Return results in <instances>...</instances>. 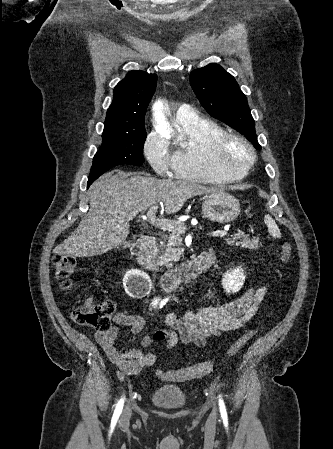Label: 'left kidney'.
Wrapping results in <instances>:
<instances>
[{"label":"left kidney","mask_w":333,"mask_h":449,"mask_svg":"<svg viewBox=\"0 0 333 449\" xmlns=\"http://www.w3.org/2000/svg\"><path fill=\"white\" fill-rule=\"evenodd\" d=\"M245 281V275L242 268L237 267L227 271L222 277V286L225 292L235 293L238 292Z\"/></svg>","instance_id":"left-kidney-1"}]
</instances>
